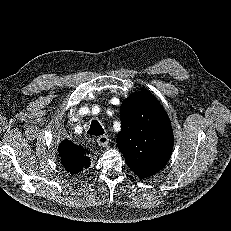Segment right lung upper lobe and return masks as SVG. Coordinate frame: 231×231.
<instances>
[{
  "instance_id": "right-lung-upper-lobe-1",
  "label": "right lung upper lobe",
  "mask_w": 231,
  "mask_h": 231,
  "mask_svg": "<svg viewBox=\"0 0 231 231\" xmlns=\"http://www.w3.org/2000/svg\"><path fill=\"white\" fill-rule=\"evenodd\" d=\"M59 156L65 169L73 174L79 173L83 167L90 165L87 152L72 151L59 145Z\"/></svg>"
}]
</instances>
